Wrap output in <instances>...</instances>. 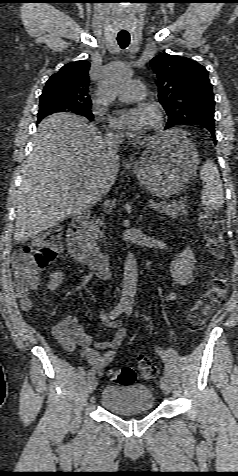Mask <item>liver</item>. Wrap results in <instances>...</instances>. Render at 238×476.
Wrapping results in <instances>:
<instances>
[{
    "instance_id": "1",
    "label": "liver",
    "mask_w": 238,
    "mask_h": 476,
    "mask_svg": "<svg viewBox=\"0 0 238 476\" xmlns=\"http://www.w3.org/2000/svg\"><path fill=\"white\" fill-rule=\"evenodd\" d=\"M105 151L98 128L86 118L57 113L43 119L23 164L14 240L25 242L104 197L119 170Z\"/></svg>"
}]
</instances>
